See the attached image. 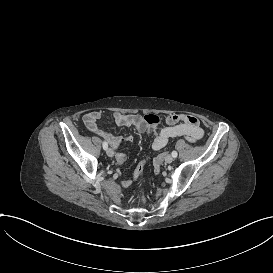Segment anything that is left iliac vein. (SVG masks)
<instances>
[{
    "label": "left iliac vein",
    "mask_w": 273,
    "mask_h": 273,
    "mask_svg": "<svg viewBox=\"0 0 273 273\" xmlns=\"http://www.w3.org/2000/svg\"><path fill=\"white\" fill-rule=\"evenodd\" d=\"M164 161H165V163H172V161H173V156L172 155H170V154H167L166 156H165V158H164Z\"/></svg>",
    "instance_id": "1"
}]
</instances>
